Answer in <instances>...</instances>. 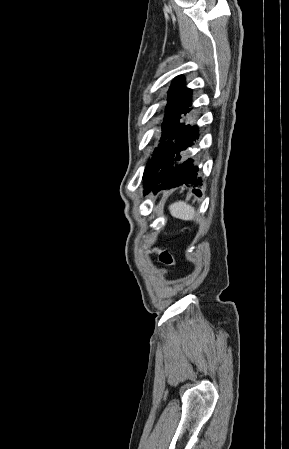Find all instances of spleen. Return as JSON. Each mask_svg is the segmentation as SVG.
<instances>
[{"instance_id":"obj_1","label":"spleen","mask_w":289,"mask_h":449,"mask_svg":"<svg viewBox=\"0 0 289 449\" xmlns=\"http://www.w3.org/2000/svg\"><path fill=\"white\" fill-rule=\"evenodd\" d=\"M170 214L181 220H193L195 217V209L184 201H177L169 206Z\"/></svg>"}]
</instances>
